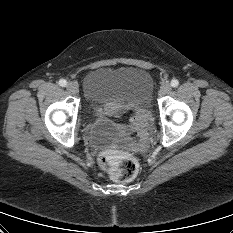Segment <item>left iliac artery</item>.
Returning <instances> with one entry per match:
<instances>
[{
    "label": "left iliac artery",
    "instance_id": "1",
    "mask_svg": "<svg viewBox=\"0 0 233 233\" xmlns=\"http://www.w3.org/2000/svg\"><path fill=\"white\" fill-rule=\"evenodd\" d=\"M179 85V81L177 80V79H173L172 81H171V86L172 87H177Z\"/></svg>",
    "mask_w": 233,
    "mask_h": 233
}]
</instances>
